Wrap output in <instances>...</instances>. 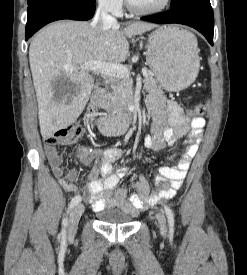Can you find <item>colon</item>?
I'll return each mask as SVG.
<instances>
[{
	"label": "colon",
	"instance_id": "colon-1",
	"mask_svg": "<svg viewBox=\"0 0 247 275\" xmlns=\"http://www.w3.org/2000/svg\"><path fill=\"white\" fill-rule=\"evenodd\" d=\"M205 111V106L202 104H197L192 109V114L201 115ZM82 135L81 127L77 124H72L56 131L53 135L48 136L45 139L46 144L56 146V145H67L75 143L80 139ZM167 186H165L166 188Z\"/></svg>",
	"mask_w": 247,
	"mask_h": 275
}]
</instances>
